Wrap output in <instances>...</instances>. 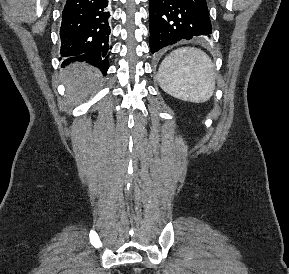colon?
Here are the masks:
<instances>
[{
  "instance_id": "5ec220e1",
  "label": "colon",
  "mask_w": 289,
  "mask_h": 274,
  "mask_svg": "<svg viewBox=\"0 0 289 274\" xmlns=\"http://www.w3.org/2000/svg\"><path fill=\"white\" fill-rule=\"evenodd\" d=\"M138 272H139V269L136 270V273H138Z\"/></svg>"
}]
</instances>
